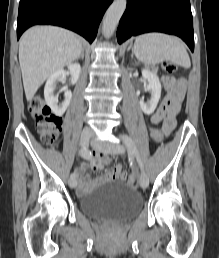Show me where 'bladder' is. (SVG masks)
Listing matches in <instances>:
<instances>
[{
    "label": "bladder",
    "instance_id": "bladder-1",
    "mask_svg": "<svg viewBox=\"0 0 219 258\" xmlns=\"http://www.w3.org/2000/svg\"><path fill=\"white\" fill-rule=\"evenodd\" d=\"M78 201L84 214L116 221L133 217L143 206L142 197L132 187L119 182L103 183Z\"/></svg>",
    "mask_w": 219,
    "mask_h": 258
}]
</instances>
